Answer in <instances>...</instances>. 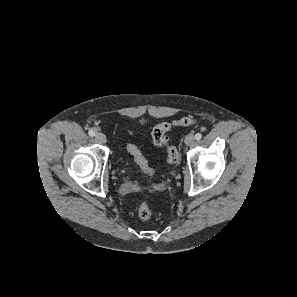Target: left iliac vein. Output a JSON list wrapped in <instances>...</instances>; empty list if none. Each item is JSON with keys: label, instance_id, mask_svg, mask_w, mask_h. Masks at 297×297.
<instances>
[{"label": "left iliac vein", "instance_id": "4c4485c4", "mask_svg": "<svg viewBox=\"0 0 297 297\" xmlns=\"http://www.w3.org/2000/svg\"><path fill=\"white\" fill-rule=\"evenodd\" d=\"M185 144L191 146L195 143V137L193 134H188L185 136Z\"/></svg>", "mask_w": 297, "mask_h": 297}]
</instances>
